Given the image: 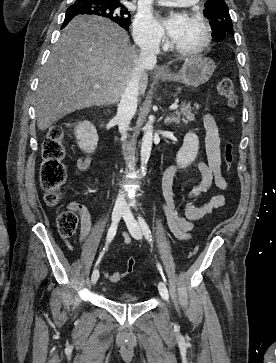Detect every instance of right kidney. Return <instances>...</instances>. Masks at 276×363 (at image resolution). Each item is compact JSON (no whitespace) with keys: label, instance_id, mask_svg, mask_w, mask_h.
Masks as SVG:
<instances>
[{"label":"right kidney","instance_id":"right-kidney-1","mask_svg":"<svg viewBox=\"0 0 276 363\" xmlns=\"http://www.w3.org/2000/svg\"><path fill=\"white\" fill-rule=\"evenodd\" d=\"M78 146L86 153H93L98 144L96 128L89 121L80 122L75 128Z\"/></svg>","mask_w":276,"mask_h":363}]
</instances>
